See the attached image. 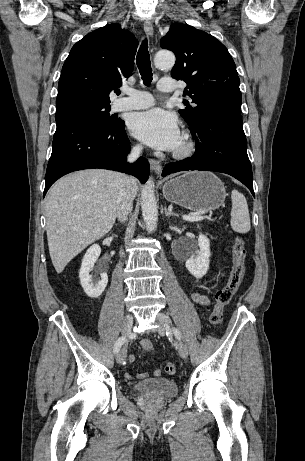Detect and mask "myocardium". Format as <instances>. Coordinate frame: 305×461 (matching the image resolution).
I'll return each mask as SVG.
<instances>
[{"instance_id": "1", "label": "myocardium", "mask_w": 305, "mask_h": 461, "mask_svg": "<svg viewBox=\"0 0 305 461\" xmlns=\"http://www.w3.org/2000/svg\"><path fill=\"white\" fill-rule=\"evenodd\" d=\"M195 150L194 142L188 137L185 136L180 143L179 147L174 151V156L176 158H185L191 155Z\"/></svg>"}]
</instances>
